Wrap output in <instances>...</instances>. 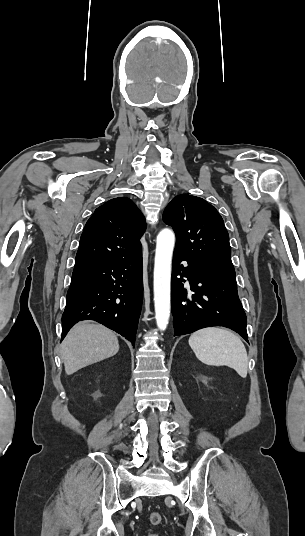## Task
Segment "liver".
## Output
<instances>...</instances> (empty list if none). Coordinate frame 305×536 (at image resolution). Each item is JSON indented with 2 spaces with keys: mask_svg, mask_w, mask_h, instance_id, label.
I'll return each mask as SVG.
<instances>
[{
  "mask_svg": "<svg viewBox=\"0 0 305 536\" xmlns=\"http://www.w3.org/2000/svg\"><path fill=\"white\" fill-rule=\"evenodd\" d=\"M118 350L119 344L114 332L101 324L78 322L63 340L60 352L65 372L71 376L85 366L115 356Z\"/></svg>",
  "mask_w": 305,
  "mask_h": 536,
  "instance_id": "1",
  "label": "liver"
}]
</instances>
